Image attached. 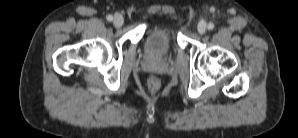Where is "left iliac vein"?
<instances>
[{"label":"left iliac vein","mask_w":298,"mask_h":138,"mask_svg":"<svg viewBox=\"0 0 298 138\" xmlns=\"http://www.w3.org/2000/svg\"><path fill=\"white\" fill-rule=\"evenodd\" d=\"M197 30L200 34H204L207 30V23L205 20H201L199 23H198V26H197Z\"/></svg>","instance_id":"obj_1"}]
</instances>
